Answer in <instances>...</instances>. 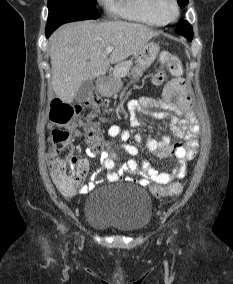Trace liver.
<instances>
[{
  "instance_id": "liver-1",
  "label": "liver",
  "mask_w": 233,
  "mask_h": 284,
  "mask_svg": "<svg viewBox=\"0 0 233 284\" xmlns=\"http://www.w3.org/2000/svg\"><path fill=\"white\" fill-rule=\"evenodd\" d=\"M158 32L137 23L78 22L60 27L50 37L52 87L58 98L71 103L86 80L141 50ZM113 51L108 57L106 47Z\"/></svg>"
}]
</instances>
